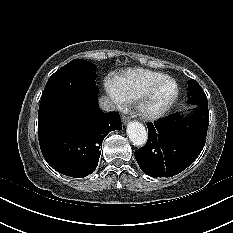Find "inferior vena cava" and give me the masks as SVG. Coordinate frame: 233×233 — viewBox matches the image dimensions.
I'll return each mask as SVG.
<instances>
[{
    "mask_svg": "<svg viewBox=\"0 0 233 233\" xmlns=\"http://www.w3.org/2000/svg\"><path fill=\"white\" fill-rule=\"evenodd\" d=\"M99 105L103 111L109 112L115 109V105L113 101H111L108 97L102 96L99 99Z\"/></svg>",
    "mask_w": 233,
    "mask_h": 233,
    "instance_id": "602c4592",
    "label": "inferior vena cava"
}]
</instances>
